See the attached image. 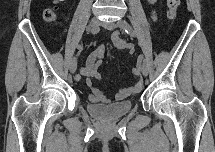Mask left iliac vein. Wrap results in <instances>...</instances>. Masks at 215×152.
I'll list each match as a JSON object with an SVG mask.
<instances>
[{
	"mask_svg": "<svg viewBox=\"0 0 215 152\" xmlns=\"http://www.w3.org/2000/svg\"><path fill=\"white\" fill-rule=\"evenodd\" d=\"M119 22V21H118ZM118 22L115 23V22H102L101 25L106 28L107 30H113L117 27L118 25ZM143 75L144 76H147L148 73H149V67H148V64L146 63V61H143Z\"/></svg>",
	"mask_w": 215,
	"mask_h": 152,
	"instance_id": "4c4485c4",
	"label": "left iliac vein"
}]
</instances>
